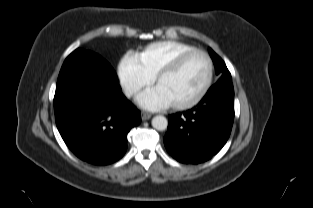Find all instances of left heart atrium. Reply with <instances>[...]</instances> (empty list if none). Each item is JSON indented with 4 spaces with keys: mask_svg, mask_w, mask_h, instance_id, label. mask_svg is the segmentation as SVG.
<instances>
[{
    "mask_svg": "<svg viewBox=\"0 0 313 208\" xmlns=\"http://www.w3.org/2000/svg\"><path fill=\"white\" fill-rule=\"evenodd\" d=\"M137 100L142 107L150 110L164 109L171 105L168 98L157 87L145 91Z\"/></svg>",
    "mask_w": 313,
    "mask_h": 208,
    "instance_id": "39dd6f15",
    "label": "left heart atrium"
}]
</instances>
